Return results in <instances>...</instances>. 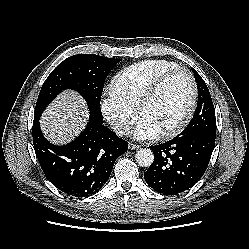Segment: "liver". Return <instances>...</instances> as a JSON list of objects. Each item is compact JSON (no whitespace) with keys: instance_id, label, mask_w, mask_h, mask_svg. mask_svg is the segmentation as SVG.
<instances>
[{"instance_id":"1","label":"liver","mask_w":249,"mask_h":249,"mask_svg":"<svg viewBox=\"0 0 249 249\" xmlns=\"http://www.w3.org/2000/svg\"><path fill=\"white\" fill-rule=\"evenodd\" d=\"M87 116L84 99L77 92L68 90L48 107L41 118V128L51 142L65 144L85 127Z\"/></svg>"}]
</instances>
